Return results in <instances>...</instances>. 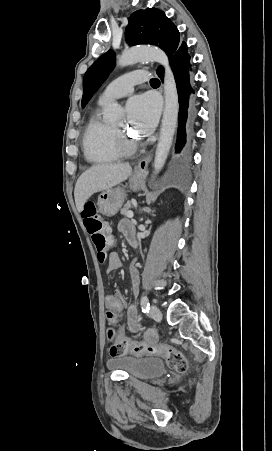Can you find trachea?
I'll list each match as a JSON object with an SVG mask.
<instances>
[{
	"label": "trachea",
	"instance_id": "1",
	"mask_svg": "<svg viewBox=\"0 0 272 451\" xmlns=\"http://www.w3.org/2000/svg\"><path fill=\"white\" fill-rule=\"evenodd\" d=\"M160 82H159V80L157 79V78H152L151 80H150V84H159Z\"/></svg>",
	"mask_w": 272,
	"mask_h": 451
}]
</instances>
